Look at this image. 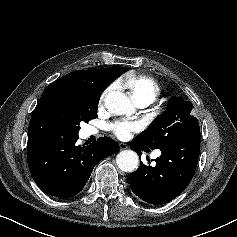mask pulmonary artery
I'll return each mask as SVG.
<instances>
[{"label": "pulmonary artery", "instance_id": "pulmonary-artery-1", "mask_svg": "<svg viewBox=\"0 0 237 237\" xmlns=\"http://www.w3.org/2000/svg\"><path fill=\"white\" fill-rule=\"evenodd\" d=\"M147 105H148L147 103H142V104H140L141 107H145V106H147ZM96 132H97L96 129H94V128H92V127L88 129V133H89V134H95ZM159 154H160L159 152H156V153L154 154V157L159 156Z\"/></svg>", "mask_w": 237, "mask_h": 237}]
</instances>
